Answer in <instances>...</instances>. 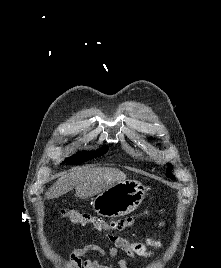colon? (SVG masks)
<instances>
[{"mask_svg":"<svg viewBox=\"0 0 221 268\" xmlns=\"http://www.w3.org/2000/svg\"><path fill=\"white\" fill-rule=\"evenodd\" d=\"M148 213V211L144 212ZM61 216L82 226L92 227L100 231H124L132 228L139 216H129L122 219L105 220L101 217L82 212L77 209L61 211Z\"/></svg>","mask_w":221,"mask_h":268,"instance_id":"1","label":"colon"}]
</instances>
